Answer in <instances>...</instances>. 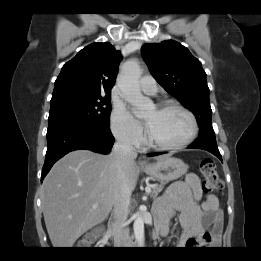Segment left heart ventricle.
Masks as SVG:
<instances>
[{"label":"left heart ventricle","instance_id":"left-heart-ventricle-1","mask_svg":"<svg viewBox=\"0 0 261 261\" xmlns=\"http://www.w3.org/2000/svg\"><path fill=\"white\" fill-rule=\"evenodd\" d=\"M144 119L153 139L159 143L173 144L185 139L190 132L189 118L176 109L149 110Z\"/></svg>","mask_w":261,"mask_h":261}]
</instances>
